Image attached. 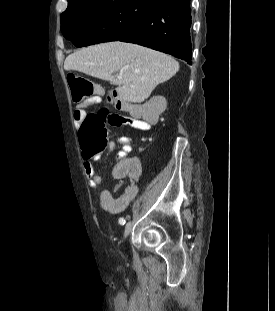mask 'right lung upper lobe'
I'll list each match as a JSON object with an SVG mask.
<instances>
[{"label":"right lung upper lobe","mask_w":275,"mask_h":311,"mask_svg":"<svg viewBox=\"0 0 275 311\" xmlns=\"http://www.w3.org/2000/svg\"><path fill=\"white\" fill-rule=\"evenodd\" d=\"M76 1H83V0H68V3H72V2H76Z\"/></svg>","instance_id":"1"}]
</instances>
